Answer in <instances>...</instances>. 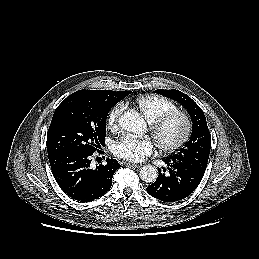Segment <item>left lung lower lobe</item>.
Here are the masks:
<instances>
[{"label":"left lung lower lobe","instance_id":"0a47b994","mask_svg":"<svg viewBox=\"0 0 259 259\" xmlns=\"http://www.w3.org/2000/svg\"><path fill=\"white\" fill-rule=\"evenodd\" d=\"M164 161L170 166V175L165 176L158 170L157 180L147 187V192L162 201H180L197 188L205 171L186 161L169 158Z\"/></svg>","mask_w":259,"mask_h":259}]
</instances>
